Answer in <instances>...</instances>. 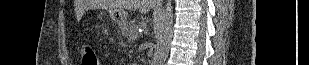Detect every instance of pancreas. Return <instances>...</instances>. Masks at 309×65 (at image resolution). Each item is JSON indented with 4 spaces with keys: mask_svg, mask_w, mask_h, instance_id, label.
<instances>
[{
    "mask_svg": "<svg viewBox=\"0 0 309 65\" xmlns=\"http://www.w3.org/2000/svg\"><path fill=\"white\" fill-rule=\"evenodd\" d=\"M128 28H129L128 32L131 33V31H135L137 29V24H135V22H131L129 23Z\"/></svg>",
    "mask_w": 309,
    "mask_h": 65,
    "instance_id": "cf45deb5",
    "label": "pancreas"
}]
</instances>
